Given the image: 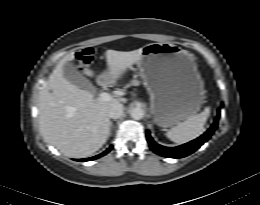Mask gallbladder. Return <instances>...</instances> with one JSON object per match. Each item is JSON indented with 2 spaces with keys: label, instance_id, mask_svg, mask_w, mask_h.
<instances>
[{
  "label": "gallbladder",
  "instance_id": "bac80fb5",
  "mask_svg": "<svg viewBox=\"0 0 260 205\" xmlns=\"http://www.w3.org/2000/svg\"><path fill=\"white\" fill-rule=\"evenodd\" d=\"M64 77L75 86L84 90H93L90 81L72 63H65L63 66Z\"/></svg>",
  "mask_w": 260,
  "mask_h": 205
}]
</instances>
